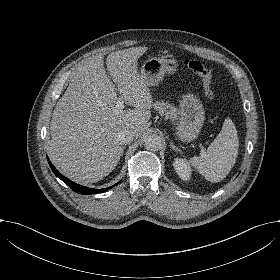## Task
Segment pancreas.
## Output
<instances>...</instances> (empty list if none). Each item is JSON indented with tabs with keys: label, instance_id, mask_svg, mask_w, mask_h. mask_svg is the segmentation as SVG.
<instances>
[{
	"label": "pancreas",
	"instance_id": "obj_1",
	"mask_svg": "<svg viewBox=\"0 0 280 280\" xmlns=\"http://www.w3.org/2000/svg\"><path fill=\"white\" fill-rule=\"evenodd\" d=\"M154 108L161 116H165V119H171L172 121L177 119V109L172 104H168L164 101H157L154 103Z\"/></svg>",
	"mask_w": 280,
	"mask_h": 280
}]
</instances>
